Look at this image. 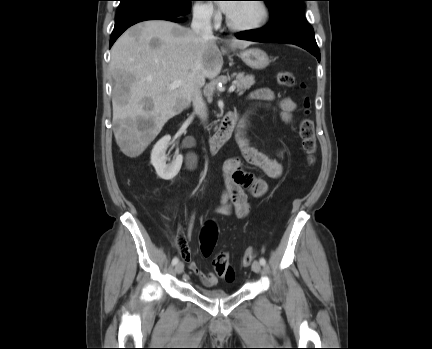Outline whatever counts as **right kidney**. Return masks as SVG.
<instances>
[{
  "instance_id": "1",
  "label": "right kidney",
  "mask_w": 432,
  "mask_h": 349,
  "mask_svg": "<svg viewBox=\"0 0 432 349\" xmlns=\"http://www.w3.org/2000/svg\"><path fill=\"white\" fill-rule=\"evenodd\" d=\"M170 140L169 135L164 136L154 145L151 152V164L155 168L157 175L163 180L173 179L180 171L183 162V156L177 155L175 160L166 164V150Z\"/></svg>"
}]
</instances>
